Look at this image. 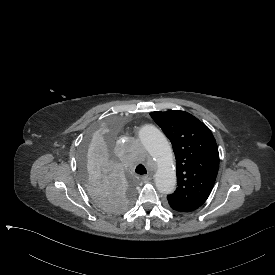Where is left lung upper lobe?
Instances as JSON below:
<instances>
[{
    "mask_svg": "<svg viewBox=\"0 0 275 275\" xmlns=\"http://www.w3.org/2000/svg\"><path fill=\"white\" fill-rule=\"evenodd\" d=\"M170 139L176 157L178 187L167 196L170 207L190 212L208 198L219 168V153L209 128L193 115L179 110L150 113Z\"/></svg>",
    "mask_w": 275,
    "mask_h": 275,
    "instance_id": "1",
    "label": "left lung upper lobe"
}]
</instances>
